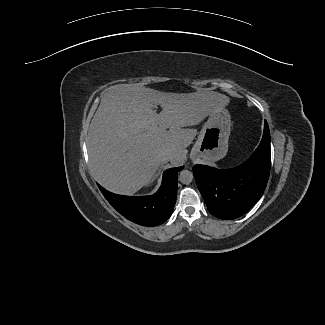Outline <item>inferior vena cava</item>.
<instances>
[{"label":"inferior vena cava","mask_w":325,"mask_h":325,"mask_svg":"<svg viewBox=\"0 0 325 325\" xmlns=\"http://www.w3.org/2000/svg\"><path fill=\"white\" fill-rule=\"evenodd\" d=\"M173 158V154L170 151H163L160 154V160L162 162L170 161Z\"/></svg>","instance_id":"obj_1"}]
</instances>
